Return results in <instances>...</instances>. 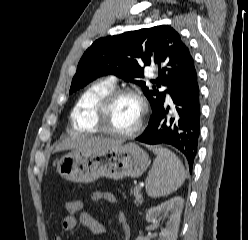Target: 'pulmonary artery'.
Segmentation results:
<instances>
[{
	"mask_svg": "<svg viewBox=\"0 0 248 240\" xmlns=\"http://www.w3.org/2000/svg\"><path fill=\"white\" fill-rule=\"evenodd\" d=\"M110 81H111V82H114V80H113V79H111Z\"/></svg>",
	"mask_w": 248,
	"mask_h": 240,
	"instance_id": "pulmonary-artery-1",
	"label": "pulmonary artery"
}]
</instances>
